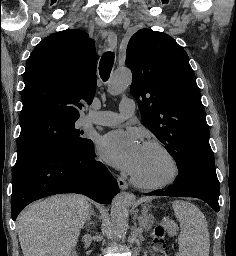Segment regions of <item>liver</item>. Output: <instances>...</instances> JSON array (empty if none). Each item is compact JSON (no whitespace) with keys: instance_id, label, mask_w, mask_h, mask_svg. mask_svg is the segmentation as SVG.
<instances>
[{"instance_id":"1","label":"liver","mask_w":236,"mask_h":256,"mask_svg":"<svg viewBox=\"0 0 236 256\" xmlns=\"http://www.w3.org/2000/svg\"><path fill=\"white\" fill-rule=\"evenodd\" d=\"M84 196H53L34 202L18 216L23 256H71L90 214Z\"/></svg>"}]
</instances>
